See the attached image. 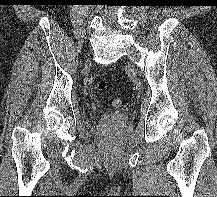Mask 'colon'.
<instances>
[{
  "label": "colon",
  "instance_id": "obj_1",
  "mask_svg": "<svg viewBox=\"0 0 217 197\" xmlns=\"http://www.w3.org/2000/svg\"><path fill=\"white\" fill-rule=\"evenodd\" d=\"M107 86V82L105 79H100L97 83V88L102 91L106 88ZM111 105L113 107H120L122 105V101L121 99L119 98H114L112 101H111Z\"/></svg>",
  "mask_w": 217,
  "mask_h": 197
}]
</instances>
